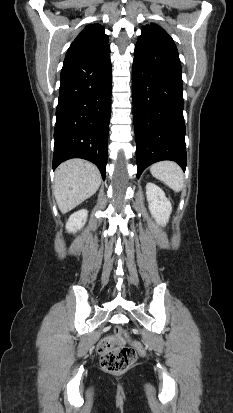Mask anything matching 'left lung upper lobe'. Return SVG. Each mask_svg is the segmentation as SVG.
<instances>
[{"mask_svg": "<svg viewBox=\"0 0 233 413\" xmlns=\"http://www.w3.org/2000/svg\"><path fill=\"white\" fill-rule=\"evenodd\" d=\"M150 35H160L163 36L169 40H172V38L166 33V31L160 27L159 25H156L154 23H151L150 25H146L144 26V28L142 29V34L139 37L138 40L140 39H144ZM173 41V40H172Z\"/></svg>", "mask_w": 233, "mask_h": 413, "instance_id": "obj_1", "label": "left lung upper lobe"}]
</instances>
